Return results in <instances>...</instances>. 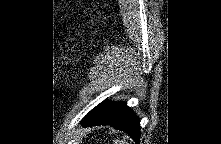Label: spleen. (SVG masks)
Segmentation results:
<instances>
[{
    "label": "spleen",
    "instance_id": "1",
    "mask_svg": "<svg viewBox=\"0 0 221 144\" xmlns=\"http://www.w3.org/2000/svg\"><path fill=\"white\" fill-rule=\"evenodd\" d=\"M114 144H128V143L122 140H114Z\"/></svg>",
    "mask_w": 221,
    "mask_h": 144
}]
</instances>
